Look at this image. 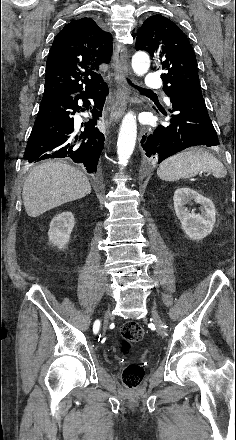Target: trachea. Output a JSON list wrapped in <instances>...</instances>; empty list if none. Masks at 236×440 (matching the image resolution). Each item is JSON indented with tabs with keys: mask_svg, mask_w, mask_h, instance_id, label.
Returning a JSON list of instances; mask_svg holds the SVG:
<instances>
[{
	"mask_svg": "<svg viewBox=\"0 0 236 440\" xmlns=\"http://www.w3.org/2000/svg\"><path fill=\"white\" fill-rule=\"evenodd\" d=\"M127 83H128L129 85H131L132 87L138 89V90H141V91H146V90H147V89H144V88H141V87H139V86L134 85V84H133L130 80H128V79H127Z\"/></svg>",
	"mask_w": 236,
	"mask_h": 440,
	"instance_id": "obj_1",
	"label": "trachea"
}]
</instances>
